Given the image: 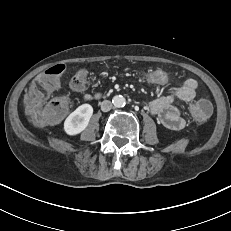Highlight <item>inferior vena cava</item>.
Masks as SVG:
<instances>
[{
    "instance_id": "602c4592",
    "label": "inferior vena cava",
    "mask_w": 231,
    "mask_h": 231,
    "mask_svg": "<svg viewBox=\"0 0 231 231\" xmlns=\"http://www.w3.org/2000/svg\"><path fill=\"white\" fill-rule=\"evenodd\" d=\"M113 107V104L111 101L109 100H104L102 103H101V110L103 112H108L112 109Z\"/></svg>"
}]
</instances>
